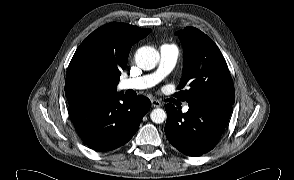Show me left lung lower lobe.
<instances>
[{"label": "left lung lower lobe", "instance_id": "left-lung-lower-lobe-1", "mask_svg": "<svg viewBox=\"0 0 294 180\" xmlns=\"http://www.w3.org/2000/svg\"><path fill=\"white\" fill-rule=\"evenodd\" d=\"M182 114L172 104H166L165 134L169 142L188 156H200L212 150L222 136L232 111L231 105L188 103Z\"/></svg>", "mask_w": 294, "mask_h": 180}]
</instances>
